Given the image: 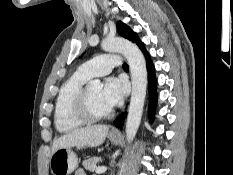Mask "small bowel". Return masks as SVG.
<instances>
[{
  "instance_id": "1",
  "label": "small bowel",
  "mask_w": 233,
  "mask_h": 175,
  "mask_svg": "<svg viewBox=\"0 0 233 175\" xmlns=\"http://www.w3.org/2000/svg\"><path fill=\"white\" fill-rule=\"evenodd\" d=\"M74 175H86L83 169H77L74 173Z\"/></svg>"
}]
</instances>
